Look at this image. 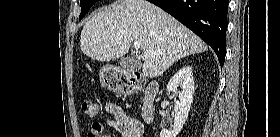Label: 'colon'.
Here are the masks:
<instances>
[{
  "mask_svg": "<svg viewBox=\"0 0 280 137\" xmlns=\"http://www.w3.org/2000/svg\"><path fill=\"white\" fill-rule=\"evenodd\" d=\"M83 111L90 117L98 116L100 112L99 104L93 100H86L82 103ZM129 131L131 136H136L139 132V126L135 122H130L129 124Z\"/></svg>",
  "mask_w": 280,
  "mask_h": 137,
  "instance_id": "obj_1",
  "label": "colon"
}]
</instances>
